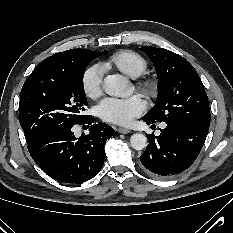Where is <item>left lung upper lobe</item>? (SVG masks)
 <instances>
[{
	"label": "left lung upper lobe",
	"mask_w": 233,
	"mask_h": 233,
	"mask_svg": "<svg viewBox=\"0 0 233 233\" xmlns=\"http://www.w3.org/2000/svg\"><path fill=\"white\" fill-rule=\"evenodd\" d=\"M140 50L154 64L159 81V100L142 119L152 123L187 121L209 128L208 98L194 67L166 49L141 47Z\"/></svg>",
	"instance_id": "obj_1"
}]
</instances>
